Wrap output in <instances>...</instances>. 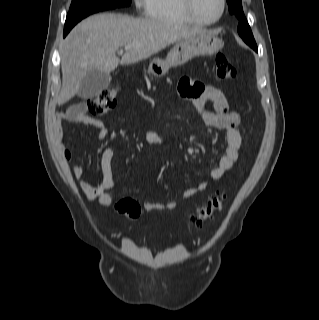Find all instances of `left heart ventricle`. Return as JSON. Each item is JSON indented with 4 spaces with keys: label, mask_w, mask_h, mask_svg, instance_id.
I'll return each mask as SVG.
<instances>
[{
    "label": "left heart ventricle",
    "mask_w": 319,
    "mask_h": 320,
    "mask_svg": "<svg viewBox=\"0 0 319 320\" xmlns=\"http://www.w3.org/2000/svg\"><path fill=\"white\" fill-rule=\"evenodd\" d=\"M197 15L204 20H213L218 17L221 8L220 0H194Z\"/></svg>",
    "instance_id": "left-heart-ventricle-1"
}]
</instances>
